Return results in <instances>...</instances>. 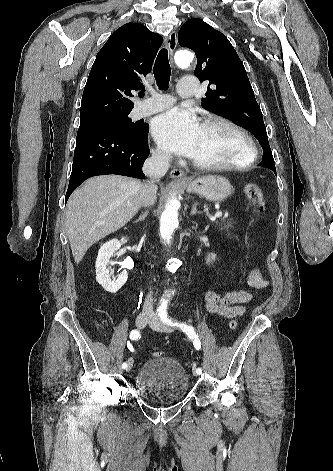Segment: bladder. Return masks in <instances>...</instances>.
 I'll return each mask as SVG.
<instances>
[{
	"label": "bladder",
	"instance_id": "1",
	"mask_svg": "<svg viewBox=\"0 0 333 471\" xmlns=\"http://www.w3.org/2000/svg\"><path fill=\"white\" fill-rule=\"evenodd\" d=\"M189 377L182 364L172 357H154L145 361L135 376L138 397L156 405L175 404L186 397Z\"/></svg>",
	"mask_w": 333,
	"mask_h": 471
}]
</instances>
